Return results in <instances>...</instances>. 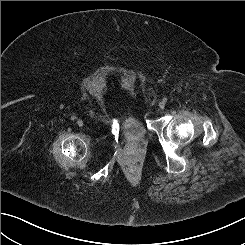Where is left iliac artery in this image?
Segmentation results:
<instances>
[{
  "instance_id": "obj_1",
  "label": "left iliac artery",
  "mask_w": 245,
  "mask_h": 245,
  "mask_svg": "<svg viewBox=\"0 0 245 245\" xmlns=\"http://www.w3.org/2000/svg\"><path fill=\"white\" fill-rule=\"evenodd\" d=\"M163 102H167V98H163Z\"/></svg>"
}]
</instances>
